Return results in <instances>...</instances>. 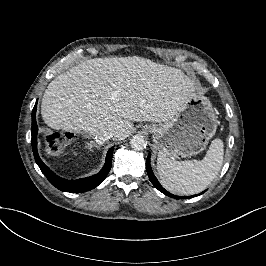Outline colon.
I'll use <instances>...</instances> for the list:
<instances>
[{
    "label": "colon",
    "instance_id": "5ec220e1",
    "mask_svg": "<svg viewBox=\"0 0 266 266\" xmlns=\"http://www.w3.org/2000/svg\"><path fill=\"white\" fill-rule=\"evenodd\" d=\"M44 146L50 153L61 152L65 146V139L60 132H52L44 137Z\"/></svg>",
    "mask_w": 266,
    "mask_h": 266
}]
</instances>
